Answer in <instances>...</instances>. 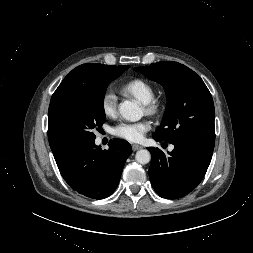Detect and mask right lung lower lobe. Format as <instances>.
<instances>
[{
	"label": "right lung lower lobe",
	"mask_w": 253,
	"mask_h": 253,
	"mask_svg": "<svg viewBox=\"0 0 253 253\" xmlns=\"http://www.w3.org/2000/svg\"><path fill=\"white\" fill-rule=\"evenodd\" d=\"M131 152L127 141L115 138L110 140L108 150L90 140L64 147L53 155L62 177L73 190L92 199H103L117 188Z\"/></svg>",
	"instance_id": "obj_1"
}]
</instances>
